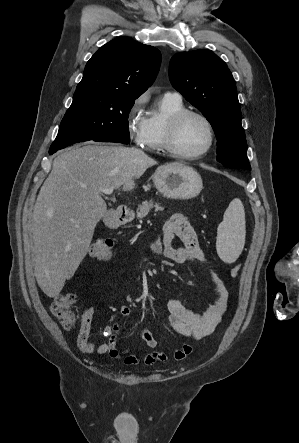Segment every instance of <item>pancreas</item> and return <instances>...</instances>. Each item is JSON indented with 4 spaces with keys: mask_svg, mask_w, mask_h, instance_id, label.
<instances>
[{
    "mask_svg": "<svg viewBox=\"0 0 299 443\" xmlns=\"http://www.w3.org/2000/svg\"><path fill=\"white\" fill-rule=\"evenodd\" d=\"M152 208H155V210H157V211H163L164 210V208L159 206V204H154L152 201H149V202L148 201H144L137 208V211H136L137 218L138 219L144 218L149 213V211Z\"/></svg>",
    "mask_w": 299,
    "mask_h": 443,
    "instance_id": "cf45deb5",
    "label": "pancreas"
}]
</instances>
